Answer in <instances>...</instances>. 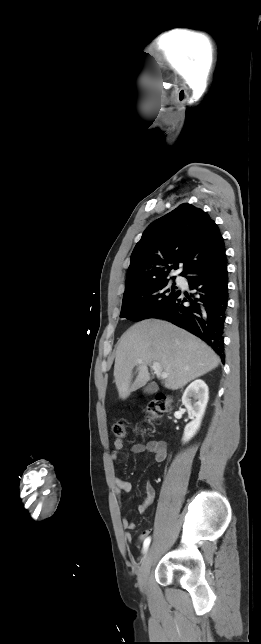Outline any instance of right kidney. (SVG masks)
Here are the masks:
<instances>
[{"instance_id": "right-kidney-1", "label": "right kidney", "mask_w": 261, "mask_h": 644, "mask_svg": "<svg viewBox=\"0 0 261 644\" xmlns=\"http://www.w3.org/2000/svg\"><path fill=\"white\" fill-rule=\"evenodd\" d=\"M194 399V402L192 399ZM208 386L203 380H195L184 391L182 403L194 418L184 429L182 441L188 442L198 431L208 403Z\"/></svg>"}]
</instances>
